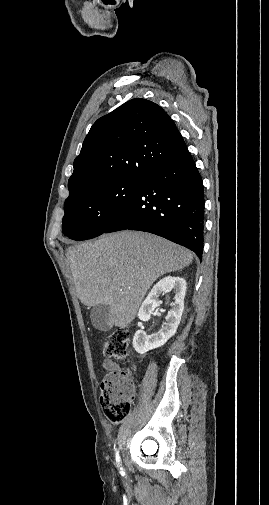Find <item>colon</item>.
<instances>
[{
  "instance_id": "obj_1",
  "label": "colon",
  "mask_w": 269,
  "mask_h": 505,
  "mask_svg": "<svg viewBox=\"0 0 269 505\" xmlns=\"http://www.w3.org/2000/svg\"><path fill=\"white\" fill-rule=\"evenodd\" d=\"M129 342V331L116 329L104 341L103 353L106 357L125 361ZM133 399L134 389L128 369H121L102 380L100 403L106 418L112 424H119L128 416Z\"/></svg>"
}]
</instances>
